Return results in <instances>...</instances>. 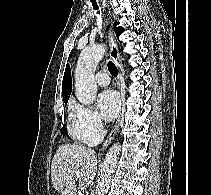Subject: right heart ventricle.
Here are the masks:
<instances>
[{"label": "right heart ventricle", "instance_id": "obj_1", "mask_svg": "<svg viewBox=\"0 0 211 195\" xmlns=\"http://www.w3.org/2000/svg\"><path fill=\"white\" fill-rule=\"evenodd\" d=\"M70 110L72 112L73 110V105L70 106ZM69 131H70V134L71 136L77 140V141H82L78 135V132H77V129H76V126H75V122H73L71 125H70V128H69Z\"/></svg>", "mask_w": 211, "mask_h": 195}]
</instances>
